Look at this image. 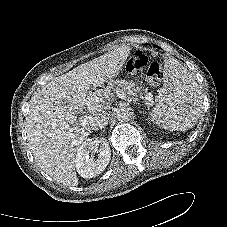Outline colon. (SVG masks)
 <instances>
[{"label":"colon","instance_id":"5ec220e1","mask_svg":"<svg viewBox=\"0 0 227 227\" xmlns=\"http://www.w3.org/2000/svg\"><path fill=\"white\" fill-rule=\"evenodd\" d=\"M127 71L132 75L146 74V77L153 85H158L161 81L160 66L156 62L149 63L147 56L136 51L126 64Z\"/></svg>","mask_w":227,"mask_h":227}]
</instances>
